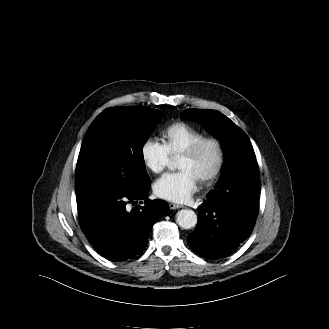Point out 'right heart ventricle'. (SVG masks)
Returning a JSON list of instances; mask_svg holds the SVG:
<instances>
[{
    "mask_svg": "<svg viewBox=\"0 0 329 329\" xmlns=\"http://www.w3.org/2000/svg\"><path fill=\"white\" fill-rule=\"evenodd\" d=\"M204 136V132L185 122L172 123L163 131L164 144L173 157Z\"/></svg>",
    "mask_w": 329,
    "mask_h": 329,
    "instance_id": "e07e8e85",
    "label": "right heart ventricle"
}]
</instances>
